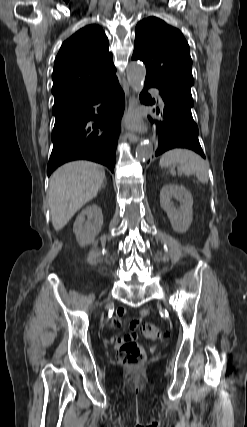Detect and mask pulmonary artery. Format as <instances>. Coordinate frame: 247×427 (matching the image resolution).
<instances>
[{"instance_id": "e3ab8cb5", "label": "pulmonary artery", "mask_w": 247, "mask_h": 427, "mask_svg": "<svg viewBox=\"0 0 247 427\" xmlns=\"http://www.w3.org/2000/svg\"><path fill=\"white\" fill-rule=\"evenodd\" d=\"M153 93L155 94L156 98L158 99L160 106L164 107V102H163V99L160 96L159 92L157 90H153Z\"/></svg>"}]
</instances>
